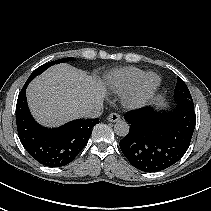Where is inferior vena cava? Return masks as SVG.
Wrapping results in <instances>:
<instances>
[{
    "label": "inferior vena cava",
    "mask_w": 211,
    "mask_h": 211,
    "mask_svg": "<svg viewBox=\"0 0 211 211\" xmlns=\"http://www.w3.org/2000/svg\"><path fill=\"white\" fill-rule=\"evenodd\" d=\"M103 112V103L98 102L88 107L84 112L83 116L87 118H98Z\"/></svg>",
    "instance_id": "602c4592"
}]
</instances>
